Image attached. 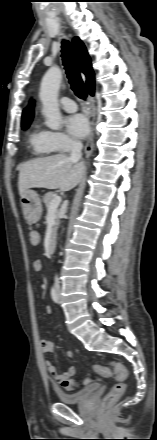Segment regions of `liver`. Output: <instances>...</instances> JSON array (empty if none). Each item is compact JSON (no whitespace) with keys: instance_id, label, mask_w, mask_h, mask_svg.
<instances>
[{"instance_id":"obj_1","label":"liver","mask_w":157,"mask_h":440,"mask_svg":"<svg viewBox=\"0 0 157 440\" xmlns=\"http://www.w3.org/2000/svg\"><path fill=\"white\" fill-rule=\"evenodd\" d=\"M84 173V164L72 162L67 155L33 159L19 168V194L22 196L31 188L69 191L82 180Z\"/></svg>"}]
</instances>
